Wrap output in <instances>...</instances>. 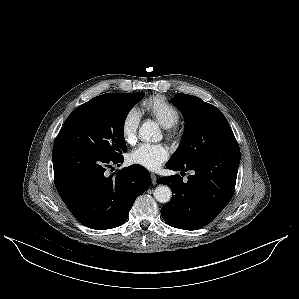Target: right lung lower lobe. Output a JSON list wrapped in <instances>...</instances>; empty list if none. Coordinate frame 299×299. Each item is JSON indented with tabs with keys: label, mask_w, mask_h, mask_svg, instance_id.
<instances>
[{
	"label": "right lung lower lobe",
	"mask_w": 299,
	"mask_h": 299,
	"mask_svg": "<svg viewBox=\"0 0 299 299\" xmlns=\"http://www.w3.org/2000/svg\"><path fill=\"white\" fill-rule=\"evenodd\" d=\"M56 189L72 215L83 225L105 230L122 225L136 198L151 184L148 171L134 164L116 175L105 172L124 158H104L72 147L52 152Z\"/></svg>",
	"instance_id": "obj_1"
}]
</instances>
